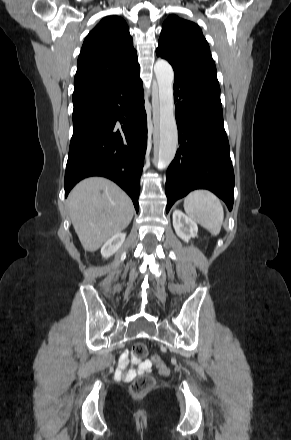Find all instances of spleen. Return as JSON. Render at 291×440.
I'll return each instance as SVG.
<instances>
[{"label":"spleen","mask_w":291,"mask_h":440,"mask_svg":"<svg viewBox=\"0 0 291 440\" xmlns=\"http://www.w3.org/2000/svg\"><path fill=\"white\" fill-rule=\"evenodd\" d=\"M186 213L213 236L220 233L224 211L220 200L210 191L195 190L184 199Z\"/></svg>","instance_id":"spleen-1"}]
</instances>
